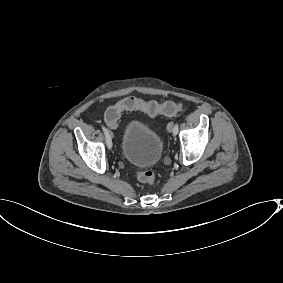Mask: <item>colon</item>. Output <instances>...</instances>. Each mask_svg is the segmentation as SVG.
<instances>
[{
	"label": "colon",
	"instance_id": "colon-1",
	"mask_svg": "<svg viewBox=\"0 0 283 283\" xmlns=\"http://www.w3.org/2000/svg\"><path fill=\"white\" fill-rule=\"evenodd\" d=\"M182 104L172 101L157 103L155 101L145 102L135 97H128L121 100L119 103L109 108L105 113V123L109 128L115 129L118 127V122L121 114L124 111L138 110L149 115H174L182 110ZM137 178L140 182L153 185L155 183V175L151 170H139Z\"/></svg>",
	"mask_w": 283,
	"mask_h": 283
}]
</instances>
